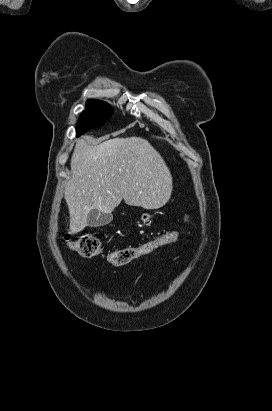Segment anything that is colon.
Wrapping results in <instances>:
<instances>
[{"mask_svg": "<svg viewBox=\"0 0 272 411\" xmlns=\"http://www.w3.org/2000/svg\"><path fill=\"white\" fill-rule=\"evenodd\" d=\"M178 233L171 231L155 239L144 242L137 246H130L115 250L105 254L106 260L113 266H123L134 259L147 255L155 249L174 243L177 240ZM69 247L82 257L92 258L103 254L102 244L99 238L91 234H85L77 239L66 236Z\"/></svg>", "mask_w": 272, "mask_h": 411, "instance_id": "1", "label": "colon"}]
</instances>
